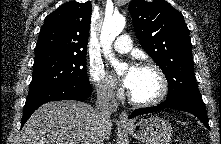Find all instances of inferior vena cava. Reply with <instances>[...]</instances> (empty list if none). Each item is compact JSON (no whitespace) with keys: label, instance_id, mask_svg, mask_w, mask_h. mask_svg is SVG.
<instances>
[{"label":"inferior vena cava","instance_id":"1","mask_svg":"<svg viewBox=\"0 0 221 144\" xmlns=\"http://www.w3.org/2000/svg\"><path fill=\"white\" fill-rule=\"evenodd\" d=\"M117 108L118 103L113 88L108 85L99 86L97 89L96 100V123L99 126V129H101L105 123L110 121L111 114L116 112ZM95 144H104L102 131H98V138Z\"/></svg>","mask_w":221,"mask_h":144}]
</instances>
